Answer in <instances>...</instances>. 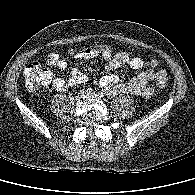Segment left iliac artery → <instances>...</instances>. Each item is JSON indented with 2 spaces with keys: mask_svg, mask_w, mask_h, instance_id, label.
Segmentation results:
<instances>
[{
  "mask_svg": "<svg viewBox=\"0 0 195 195\" xmlns=\"http://www.w3.org/2000/svg\"><path fill=\"white\" fill-rule=\"evenodd\" d=\"M99 95H100V97H103V93L101 92V93H99Z\"/></svg>",
  "mask_w": 195,
  "mask_h": 195,
  "instance_id": "1",
  "label": "left iliac artery"
}]
</instances>
